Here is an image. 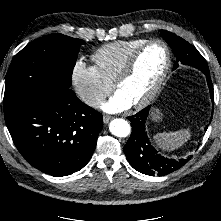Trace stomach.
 Here are the masks:
<instances>
[{
	"instance_id": "obj_1",
	"label": "stomach",
	"mask_w": 221,
	"mask_h": 221,
	"mask_svg": "<svg viewBox=\"0 0 221 221\" xmlns=\"http://www.w3.org/2000/svg\"><path fill=\"white\" fill-rule=\"evenodd\" d=\"M162 119V112L158 108H154L151 112V120L158 122Z\"/></svg>"
}]
</instances>
